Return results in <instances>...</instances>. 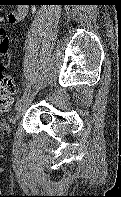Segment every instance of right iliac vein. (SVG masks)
<instances>
[{"instance_id":"right-iliac-vein-1","label":"right iliac vein","mask_w":121,"mask_h":197,"mask_svg":"<svg viewBox=\"0 0 121 197\" xmlns=\"http://www.w3.org/2000/svg\"><path fill=\"white\" fill-rule=\"evenodd\" d=\"M38 91L34 92V94L31 97H27L23 103L19 106L17 113L15 115L14 118V122L17 121L18 119H20V117L24 114L26 108L28 107L29 103L31 102V100L33 99V97L36 95Z\"/></svg>"}]
</instances>
